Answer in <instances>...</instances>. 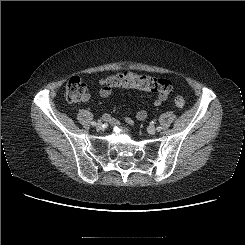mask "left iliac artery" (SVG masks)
Returning <instances> with one entry per match:
<instances>
[{
  "label": "left iliac artery",
  "mask_w": 245,
  "mask_h": 245,
  "mask_svg": "<svg viewBox=\"0 0 245 245\" xmlns=\"http://www.w3.org/2000/svg\"><path fill=\"white\" fill-rule=\"evenodd\" d=\"M151 124H155V122L152 121ZM157 130L160 131L161 130V127H157Z\"/></svg>",
  "instance_id": "1"
}]
</instances>
